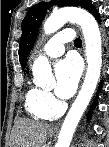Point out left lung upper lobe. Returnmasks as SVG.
<instances>
[{
    "label": "left lung upper lobe",
    "instance_id": "left-lung-upper-lobe-1",
    "mask_svg": "<svg viewBox=\"0 0 109 147\" xmlns=\"http://www.w3.org/2000/svg\"><path fill=\"white\" fill-rule=\"evenodd\" d=\"M55 2H41L32 6L27 12L25 18L22 21V35L19 46V59L21 66L24 68L34 42L36 40L39 26L43 21L46 10L50 5ZM59 6H80L89 12L94 8L90 0H60Z\"/></svg>",
    "mask_w": 109,
    "mask_h": 147
}]
</instances>
